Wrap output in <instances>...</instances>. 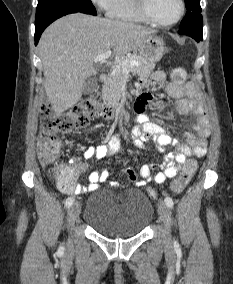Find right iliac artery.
<instances>
[{
  "mask_svg": "<svg viewBox=\"0 0 233 284\" xmlns=\"http://www.w3.org/2000/svg\"><path fill=\"white\" fill-rule=\"evenodd\" d=\"M74 202V198L73 197H68L65 201V207L69 208Z\"/></svg>",
  "mask_w": 233,
  "mask_h": 284,
  "instance_id": "82829eb1",
  "label": "right iliac artery"
}]
</instances>
